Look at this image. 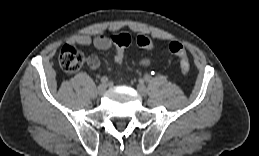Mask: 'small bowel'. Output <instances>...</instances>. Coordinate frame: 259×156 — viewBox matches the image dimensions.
Returning a JSON list of instances; mask_svg holds the SVG:
<instances>
[{
	"label": "small bowel",
	"mask_w": 259,
	"mask_h": 156,
	"mask_svg": "<svg viewBox=\"0 0 259 156\" xmlns=\"http://www.w3.org/2000/svg\"><path fill=\"white\" fill-rule=\"evenodd\" d=\"M71 44H78V45H89L93 44L97 49L99 50H108L112 47L114 44L111 37L105 36V35H97L95 37H90L89 35L85 34H78L70 39ZM89 66L92 69H95L99 65V60L96 56H91L89 58ZM150 64L149 58H142L140 61V65L142 66H148Z\"/></svg>",
	"instance_id": "obj_1"
}]
</instances>
